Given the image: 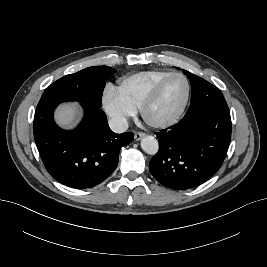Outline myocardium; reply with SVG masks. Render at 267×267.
Masks as SVG:
<instances>
[{
    "label": "myocardium",
    "instance_id": "obj_1",
    "mask_svg": "<svg viewBox=\"0 0 267 267\" xmlns=\"http://www.w3.org/2000/svg\"><path fill=\"white\" fill-rule=\"evenodd\" d=\"M175 77L182 78L186 83V94H185V98L183 100V103L181 104V106L177 110V112L174 115H172L171 117L164 119V120H159V121L151 120L148 116L149 110L151 109V107L155 104V102L159 98L160 93H161L162 89L164 88V86L166 85V83ZM190 94H191V84H190L189 79L182 73H171L168 76L164 77L162 80H160L156 84V86L153 88V90L150 92V94L147 96V98L144 100V102L142 103V105L139 109L140 115H141L143 121L147 125H149L150 127L157 128V129H163V128H168L170 126H173L177 122H179V120L182 118V116H183V114L187 108V105H188V102L190 99Z\"/></svg>",
    "mask_w": 267,
    "mask_h": 267
}]
</instances>
